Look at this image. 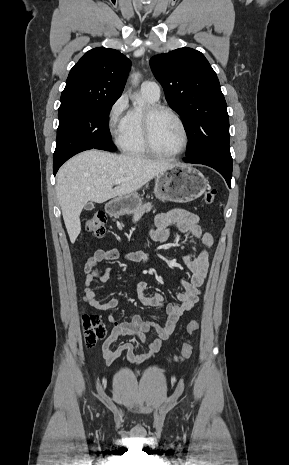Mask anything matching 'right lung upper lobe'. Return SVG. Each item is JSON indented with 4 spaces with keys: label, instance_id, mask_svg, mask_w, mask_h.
Instances as JSON below:
<instances>
[{
    "label": "right lung upper lobe",
    "instance_id": "1",
    "mask_svg": "<svg viewBox=\"0 0 289 465\" xmlns=\"http://www.w3.org/2000/svg\"><path fill=\"white\" fill-rule=\"evenodd\" d=\"M130 65V60L117 50L97 47L88 51L68 75L59 110L118 99Z\"/></svg>",
    "mask_w": 289,
    "mask_h": 465
}]
</instances>
